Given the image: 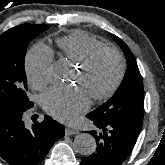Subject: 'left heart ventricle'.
<instances>
[{"label": "left heart ventricle", "instance_id": "b2bd125f", "mask_svg": "<svg viewBox=\"0 0 165 165\" xmlns=\"http://www.w3.org/2000/svg\"><path fill=\"white\" fill-rule=\"evenodd\" d=\"M118 69L117 58L110 53H105L86 72L78 69L75 83L89 96L100 94L112 85L118 74Z\"/></svg>", "mask_w": 165, "mask_h": 165}]
</instances>
